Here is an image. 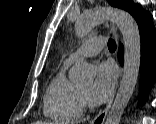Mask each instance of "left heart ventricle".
Wrapping results in <instances>:
<instances>
[{
    "mask_svg": "<svg viewBox=\"0 0 156 124\" xmlns=\"http://www.w3.org/2000/svg\"><path fill=\"white\" fill-rule=\"evenodd\" d=\"M90 88H91V84H87V85L82 87V90L85 91V92H89Z\"/></svg>",
    "mask_w": 156,
    "mask_h": 124,
    "instance_id": "b2bd125f",
    "label": "left heart ventricle"
}]
</instances>
